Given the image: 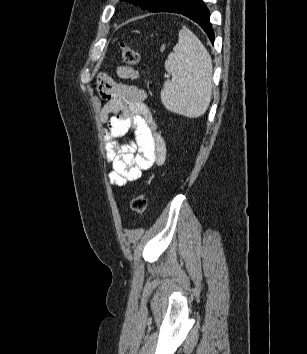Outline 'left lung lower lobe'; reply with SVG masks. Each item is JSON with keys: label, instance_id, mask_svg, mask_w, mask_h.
<instances>
[{"label": "left lung lower lobe", "instance_id": "1", "mask_svg": "<svg viewBox=\"0 0 307 354\" xmlns=\"http://www.w3.org/2000/svg\"><path fill=\"white\" fill-rule=\"evenodd\" d=\"M157 12H172L182 14L196 22L214 43V31L210 23V12L203 0H169Z\"/></svg>", "mask_w": 307, "mask_h": 354}]
</instances>
